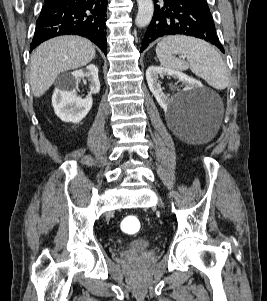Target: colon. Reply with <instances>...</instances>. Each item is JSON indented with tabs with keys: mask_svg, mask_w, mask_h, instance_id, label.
<instances>
[{
	"mask_svg": "<svg viewBox=\"0 0 267 301\" xmlns=\"http://www.w3.org/2000/svg\"><path fill=\"white\" fill-rule=\"evenodd\" d=\"M141 229V221L135 215L126 216L121 222V230L126 234H136Z\"/></svg>",
	"mask_w": 267,
	"mask_h": 301,
	"instance_id": "obj_1",
	"label": "colon"
}]
</instances>
